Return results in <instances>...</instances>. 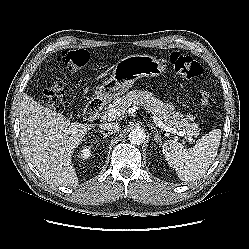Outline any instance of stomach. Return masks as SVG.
Wrapping results in <instances>:
<instances>
[{"mask_svg":"<svg viewBox=\"0 0 249 249\" xmlns=\"http://www.w3.org/2000/svg\"><path fill=\"white\" fill-rule=\"evenodd\" d=\"M166 70V65L150 55H131L120 59L114 66L109 79L97 87L99 99L110 100L129 90L142 77H157Z\"/></svg>","mask_w":249,"mask_h":249,"instance_id":"obj_1","label":"stomach"}]
</instances>
